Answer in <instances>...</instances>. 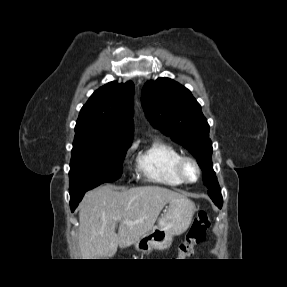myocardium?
Segmentation results:
<instances>
[{"label": "myocardium", "instance_id": "obj_1", "mask_svg": "<svg viewBox=\"0 0 287 287\" xmlns=\"http://www.w3.org/2000/svg\"><path fill=\"white\" fill-rule=\"evenodd\" d=\"M187 164H192L197 171V176L194 180H190L186 176L185 168ZM176 173L183 183L195 184L199 181L202 174V170L195 158L191 156H182L176 165Z\"/></svg>", "mask_w": 287, "mask_h": 287}]
</instances>
